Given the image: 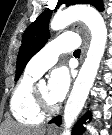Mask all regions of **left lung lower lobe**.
Wrapping results in <instances>:
<instances>
[{"label": "left lung lower lobe", "instance_id": "1", "mask_svg": "<svg viewBox=\"0 0 112 135\" xmlns=\"http://www.w3.org/2000/svg\"><path fill=\"white\" fill-rule=\"evenodd\" d=\"M90 119L91 116L89 113L85 114L80 121L77 123V125L75 126L74 130H73V134L77 135V134H81L84 131V127H83V123H85L86 119ZM50 123H55L57 125L61 124V116H57L55 118H53Z\"/></svg>", "mask_w": 112, "mask_h": 135}]
</instances>
